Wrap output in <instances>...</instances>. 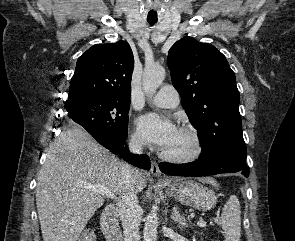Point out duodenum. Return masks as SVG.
<instances>
[{
	"label": "duodenum",
	"instance_id": "410a0bca",
	"mask_svg": "<svg viewBox=\"0 0 295 241\" xmlns=\"http://www.w3.org/2000/svg\"><path fill=\"white\" fill-rule=\"evenodd\" d=\"M101 228L108 241H123L117 221V211L113 206H107L101 217Z\"/></svg>",
	"mask_w": 295,
	"mask_h": 241
}]
</instances>
